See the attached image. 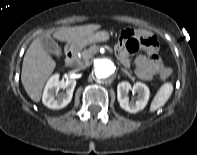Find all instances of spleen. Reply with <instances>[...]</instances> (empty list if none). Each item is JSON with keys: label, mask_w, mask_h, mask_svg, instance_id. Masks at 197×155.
<instances>
[{"label": "spleen", "mask_w": 197, "mask_h": 155, "mask_svg": "<svg viewBox=\"0 0 197 155\" xmlns=\"http://www.w3.org/2000/svg\"><path fill=\"white\" fill-rule=\"evenodd\" d=\"M173 92V85L171 83H165L163 84L160 89L157 91L151 106H150V112H154L155 110L159 109L170 98L171 94Z\"/></svg>", "instance_id": "spleen-1"}]
</instances>
